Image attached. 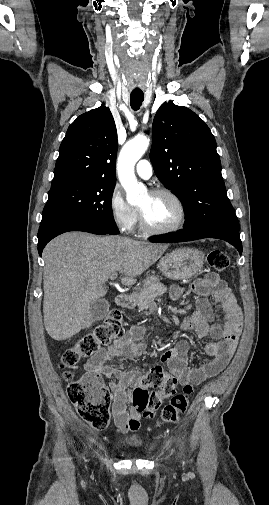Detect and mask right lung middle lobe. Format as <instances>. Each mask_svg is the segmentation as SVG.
<instances>
[{
    "label": "right lung middle lobe",
    "instance_id": "dd1d6c3e",
    "mask_svg": "<svg viewBox=\"0 0 269 505\" xmlns=\"http://www.w3.org/2000/svg\"><path fill=\"white\" fill-rule=\"evenodd\" d=\"M115 182H76L52 187L40 224L69 219L118 234L111 211Z\"/></svg>",
    "mask_w": 269,
    "mask_h": 505
}]
</instances>
